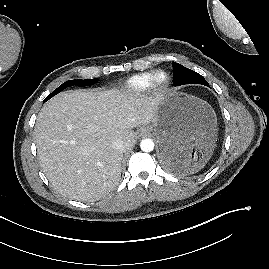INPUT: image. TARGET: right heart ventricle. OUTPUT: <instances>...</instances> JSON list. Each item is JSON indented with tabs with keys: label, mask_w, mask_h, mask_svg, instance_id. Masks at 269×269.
Here are the masks:
<instances>
[{
	"label": "right heart ventricle",
	"mask_w": 269,
	"mask_h": 269,
	"mask_svg": "<svg viewBox=\"0 0 269 269\" xmlns=\"http://www.w3.org/2000/svg\"><path fill=\"white\" fill-rule=\"evenodd\" d=\"M153 72H143L136 74L124 83V89L132 93H142L151 86Z\"/></svg>",
	"instance_id": "1"
}]
</instances>
